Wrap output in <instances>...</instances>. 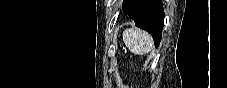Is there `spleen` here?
<instances>
[{"mask_svg": "<svg viewBox=\"0 0 227 88\" xmlns=\"http://www.w3.org/2000/svg\"><path fill=\"white\" fill-rule=\"evenodd\" d=\"M123 41L126 47L136 55L148 53L153 47L152 37L136 27L123 31Z\"/></svg>", "mask_w": 227, "mask_h": 88, "instance_id": "1", "label": "spleen"}]
</instances>
